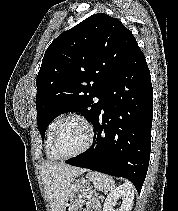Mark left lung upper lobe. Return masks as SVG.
<instances>
[{
	"instance_id": "left-lung-upper-lobe-1",
	"label": "left lung upper lobe",
	"mask_w": 178,
	"mask_h": 211,
	"mask_svg": "<svg viewBox=\"0 0 178 211\" xmlns=\"http://www.w3.org/2000/svg\"><path fill=\"white\" fill-rule=\"evenodd\" d=\"M137 46L132 33L104 13L59 35L47 48L36 80L42 139L46 126L63 112L83 113L94 124L108 85Z\"/></svg>"
}]
</instances>
